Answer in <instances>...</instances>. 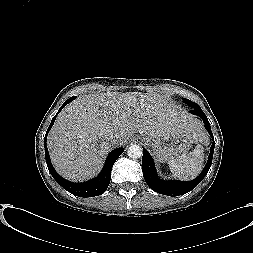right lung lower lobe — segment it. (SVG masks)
I'll return each instance as SVG.
<instances>
[{
  "mask_svg": "<svg viewBox=\"0 0 253 253\" xmlns=\"http://www.w3.org/2000/svg\"><path fill=\"white\" fill-rule=\"evenodd\" d=\"M75 98L76 97H71L70 99H67L66 102H64V104L61 106V108L59 109L57 114L52 118V121L50 123V126H49V128L46 132L45 138H44L46 163H47L49 172L51 173L53 178L65 190H67L70 193H72L76 196H79V197L98 196V195H101L102 193H104L105 190L108 188V185H109L110 179H111V170H112L113 164L115 163L117 158L120 156V154H122V152L124 151V148H118V149H115L109 153L102 171L99 173V175L96 178L86 181V182H83V183H73L68 180H65L59 174H57V172L55 171V169L53 168V166L51 164L48 149L46 146L47 134H48L49 130L51 129V127L53 126L56 116L58 115V113L62 110V108L66 104H68L69 102H71Z\"/></svg>",
  "mask_w": 253,
  "mask_h": 253,
  "instance_id": "98d812e1",
  "label": "right lung lower lobe"
}]
</instances>
